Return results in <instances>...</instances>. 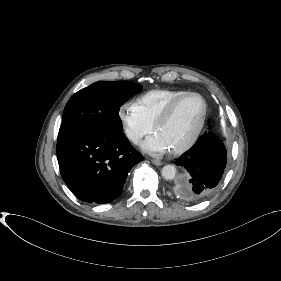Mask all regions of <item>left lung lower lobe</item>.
Instances as JSON below:
<instances>
[{
  "label": "left lung lower lobe",
  "mask_w": 281,
  "mask_h": 281,
  "mask_svg": "<svg viewBox=\"0 0 281 281\" xmlns=\"http://www.w3.org/2000/svg\"><path fill=\"white\" fill-rule=\"evenodd\" d=\"M227 152L221 140L211 132L197 142L175 162L188 175L179 185L180 195L189 202H200L218 188L226 167Z\"/></svg>",
  "instance_id": "left-lung-lower-lobe-1"
}]
</instances>
